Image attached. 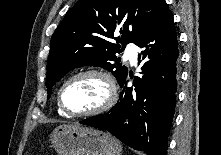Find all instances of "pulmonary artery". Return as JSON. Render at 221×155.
Here are the masks:
<instances>
[{
	"mask_svg": "<svg viewBox=\"0 0 221 155\" xmlns=\"http://www.w3.org/2000/svg\"><path fill=\"white\" fill-rule=\"evenodd\" d=\"M137 52L138 49L134 45H129L125 50L124 56L126 59L130 61L132 65H135L137 62Z\"/></svg>",
	"mask_w": 221,
	"mask_h": 155,
	"instance_id": "e3ab8cb5",
	"label": "pulmonary artery"
}]
</instances>
